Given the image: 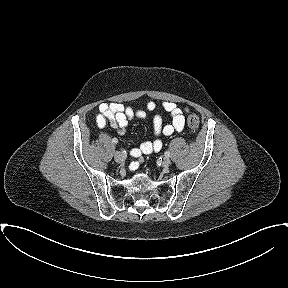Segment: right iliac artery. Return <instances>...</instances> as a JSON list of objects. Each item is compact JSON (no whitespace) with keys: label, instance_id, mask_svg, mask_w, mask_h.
Wrapping results in <instances>:
<instances>
[{"label":"right iliac artery","instance_id":"obj_1","mask_svg":"<svg viewBox=\"0 0 288 288\" xmlns=\"http://www.w3.org/2000/svg\"><path fill=\"white\" fill-rule=\"evenodd\" d=\"M112 143H113V144H117V143H118V140H117L116 138H113V139H112Z\"/></svg>","mask_w":288,"mask_h":288}]
</instances>
